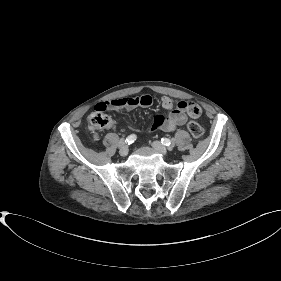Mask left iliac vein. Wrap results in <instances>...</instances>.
Instances as JSON below:
<instances>
[{"label": "left iliac vein", "mask_w": 281, "mask_h": 281, "mask_svg": "<svg viewBox=\"0 0 281 281\" xmlns=\"http://www.w3.org/2000/svg\"><path fill=\"white\" fill-rule=\"evenodd\" d=\"M152 146H153L154 149H156V150H157L159 153H161L162 155H167L168 150H167V148H166L161 142H159V141H154V142L152 143ZM168 149L171 150L172 147H169Z\"/></svg>", "instance_id": "left-iliac-vein-1"}]
</instances>
